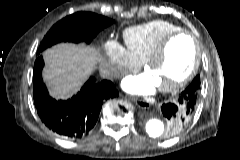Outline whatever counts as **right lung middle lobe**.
<instances>
[{
	"instance_id": "1",
	"label": "right lung middle lobe",
	"mask_w": 240,
	"mask_h": 160,
	"mask_svg": "<svg viewBox=\"0 0 240 160\" xmlns=\"http://www.w3.org/2000/svg\"><path fill=\"white\" fill-rule=\"evenodd\" d=\"M114 21L89 12H77L57 22L43 38L39 50L61 41L90 43L99 31Z\"/></svg>"
}]
</instances>
